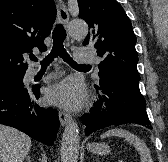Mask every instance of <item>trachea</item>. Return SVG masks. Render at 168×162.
Here are the masks:
<instances>
[{
    "label": "trachea",
    "instance_id": "3493384b",
    "mask_svg": "<svg viewBox=\"0 0 168 162\" xmlns=\"http://www.w3.org/2000/svg\"><path fill=\"white\" fill-rule=\"evenodd\" d=\"M66 37V32L62 24H57L53 31V47L48 56L41 62L42 67H46L54 58L60 56L65 62L70 64L72 67H91L90 65L77 64L70 55L66 52L64 48V40ZM30 59L37 61L35 56H30Z\"/></svg>",
    "mask_w": 168,
    "mask_h": 162
}]
</instances>
